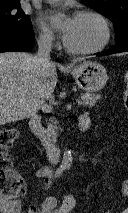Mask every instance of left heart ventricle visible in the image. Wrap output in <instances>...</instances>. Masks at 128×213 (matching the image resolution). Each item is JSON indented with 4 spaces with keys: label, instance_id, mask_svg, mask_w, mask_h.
<instances>
[{
    "label": "left heart ventricle",
    "instance_id": "1",
    "mask_svg": "<svg viewBox=\"0 0 128 213\" xmlns=\"http://www.w3.org/2000/svg\"><path fill=\"white\" fill-rule=\"evenodd\" d=\"M103 28L93 17H75L66 43L75 49H89L97 46L103 39Z\"/></svg>",
    "mask_w": 128,
    "mask_h": 213
}]
</instances>
